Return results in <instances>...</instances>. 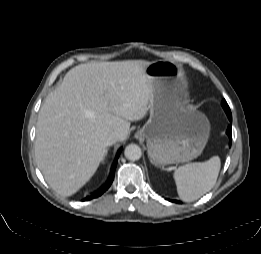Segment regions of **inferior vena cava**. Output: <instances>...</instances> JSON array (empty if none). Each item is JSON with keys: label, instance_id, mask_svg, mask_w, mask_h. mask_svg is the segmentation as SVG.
<instances>
[{"label": "inferior vena cava", "instance_id": "602c4592", "mask_svg": "<svg viewBox=\"0 0 261 254\" xmlns=\"http://www.w3.org/2000/svg\"><path fill=\"white\" fill-rule=\"evenodd\" d=\"M117 141H118V133L117 132H113L105 138V144L107 146H111Z\"/></svg>", "mask_w": 261, "mask_h": 254}]
</instances>
